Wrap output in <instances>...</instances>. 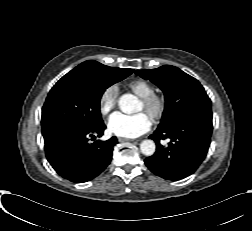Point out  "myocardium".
I'll return each instance as SVG.
<instances>
[{
  "label": "myocardium",
  "instance_id": "obj_1",
  "mask_svg": "<svg viewBox=\"0 0 252 231\" xmlns=\"http://www.w3.org/2000/svg\"><path fill=\"white\" fill-rule=\"evenodd\" d=\"M142 104L147 114L154 120H159L165 114L167 100L164 95L152 94L142 98Z\"/></svg>",
  "mask_w": 252,
  "mask_h": 231
}]
</instances>
